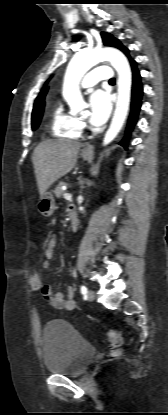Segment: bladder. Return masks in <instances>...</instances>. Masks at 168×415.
Masks as SVG:
<instances>
[{"mask_svg":"<svg viewBox=\"0 0 168 415\" xmlns=\"http://www.w3.org/2000/svg\"><path fill=\"white\" fill-rule=\"evenodd\" d=\"M46 370L55 375L79 376L93 361L96 349L67 321L47 322L42 332Z\"/></svg>","mask_w":168,"mask_h":415,"instance_id":"31cf9c89","label":"bladder"}]
</instances>
